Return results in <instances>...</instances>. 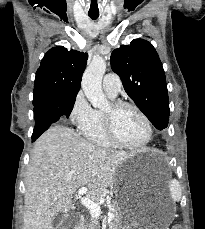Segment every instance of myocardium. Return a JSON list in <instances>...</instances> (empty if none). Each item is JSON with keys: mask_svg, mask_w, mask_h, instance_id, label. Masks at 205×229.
Here are the masks:
<instances>
[{"mask_svg": "<svg viewBox=\"0 0 205 229\" xmlns=\"http://www.w3.org/2000/svg\"><path fill=\"white\" fill-rule=\"evenodd\" d=\"M109 106H110L109 110L103 111V120H104V129H105L106 136L108 140L112 143V145L124 149L137 150V149L144 148L150 143L153 137L152 124L149 118L146 116V114L137 105L128 101L115 100L112 101L109 104ZM123 108L133 109L140 116V118L143 120L146 126V130H147L146 138L138 144L132 145V144L124 143L118 138L116 134L115 116L117 112H119Z\"/></svg>", "mask_w": 205, "mask_h": 229, "instance_id": "1", "label": "myocardium"}]
</instances>
